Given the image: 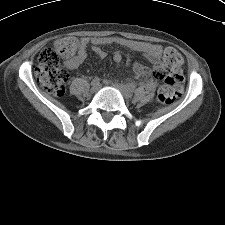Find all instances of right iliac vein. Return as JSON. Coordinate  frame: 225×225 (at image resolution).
<instances>
[{
  "label": "right iliac vein",
  "mask_w": 225,
  "mask_h": 225,
  "mask_svg": "<svg viewBox=\"0 0 225 225\" xmlns=\"http://www.w3.org/2000/svg\"><path fill=\"white\" fill-rule=\"evenodd\" d=\"M100 88V85L99 84H92L91 86V93H96Z\"/></svg>",
  "instance_id": "63e3f726"
}]
</instances>
